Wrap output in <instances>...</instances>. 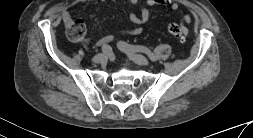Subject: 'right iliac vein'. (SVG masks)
Segmentation results:
<instances>
[{
	"mask_svg": "<svg viewBox=\"0 0 253 138\" xmlns=\"http://www.w3.org/2000/svg\"><path fill=\"white\" fill-rule=\"evenodd\" d=\"M107 61V56L104 53L97 54L93 58V62L98 63V64H103Z\"/></svg>",
	"mask_w": 253,
	"mask_h": 138,
	"instance_id": "right-iliac-vein-1",
	"label": "right iliac vein"
}]
</instances>
